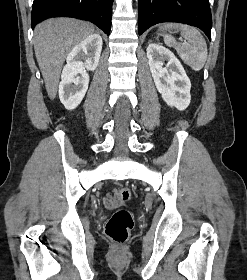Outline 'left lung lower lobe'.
I'll return each instance as SVG.
<instances>
[{
  "label": "left lung lower lobe",
  "instance_id": "0a47b994",
  "mask_svg": "<svg viewBox=\"0 0 247 280\" xmlns=\"http://www.w3.org/2000/svg\"><path fill=\"white\" fill-rule=\"evenodd\" d=\"M161 22L189 24L211 38L212 16L208 0H138L139 35Z\"/></svg>",
  "mask_w": 247,
  "mask_h": 280
}]
</instances>
